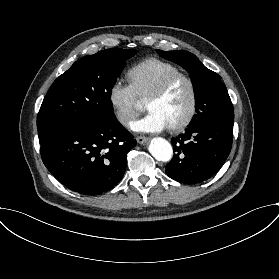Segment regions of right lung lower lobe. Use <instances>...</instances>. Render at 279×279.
<instances>
[{
	"label": "right lung lower lobe",
	"instance_id": "1",
	"mask_svg": "<svg viewBox=\"0 0 279 279\" xmlns=\"http://www.w3.org/2000/svg\"><path fill=\"white\" fill-rule=\"evenodd\" d=\"M46 168L68 189L99 195L123 178L127 153L136 145L117 119L50 126L39 135Z\"/></svg>",
	"mask_w": 279,
	"mask_h": 279
}]
</instances>
